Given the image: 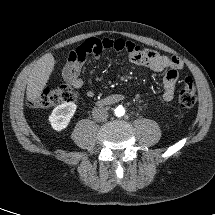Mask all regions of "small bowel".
I'll list each match as a JSON object with an SVG mask.
<instances>
[{
  "mask_svg": "<svg viewBox=\"0 0 215 215\" xmlns=\"http://www.w3.org/2000/svg\"><path fill=\"white\" fill-rule=\"evenodd\" d=\"M107 49L126 52L131 63L147 66L155 72L166 70L163 77L162 100L167 103L174 98L178 72L183 68V62L176 56H166L155 50L142 49L137 44L124 39H87L70 52L62 72L64 81L76 89L82 88L84 80L81 73L87 57L91 55L94 59H98L101 53ZM94 95L93 90L86 91L87 97L92 98Z\"/></svg>",
  "mask_w": 215,
  "mask_h": 215,
  "instance_id": "small-bowel-1",
  "label": "small bowel"
}]
</instances>
